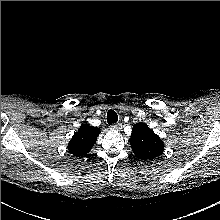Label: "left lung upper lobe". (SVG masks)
Here are the masks:
<instances>
[{"mask_svg":"<svg viewBox=\"0 0 220 220\" xmlns=\"http://www.w3.org/2000/svg\"><path fill=\"white\" fill-rule=\"evenodd\" d=\"M135 156L143 160H152L162 155L164 143L147 124L136 123L133 125L129 140Z\"/></svg>","mask_w":220,"mask_h":220,"instance_id":"1","label":"left lung upper lobe"}]
</instances>
